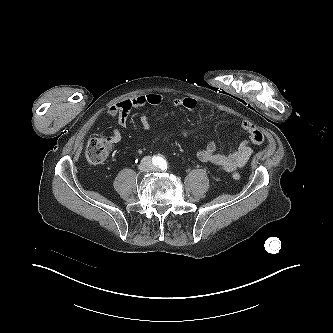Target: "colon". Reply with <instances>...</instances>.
Returning <instances> with one entry per match:
<instances>
[{"label":"colon","instance_id":"1","mask_svg":"<svg viewBox=\"0 0 333 333\" xmlns=\"http://www.w3.org/2000/svg\"><path fill=\"white\" fill-rule=\"evenodd\" d=\"M114 139L112 137H93L91 138L85 149L86 160L94 165L104 163L110 156L113 147ZM233 179L239 180L240 174L235 172L232 175Z\"/></svg>","mask_w":333,"mask_h":333}]
</instances>
